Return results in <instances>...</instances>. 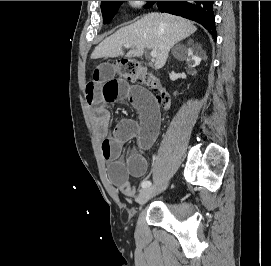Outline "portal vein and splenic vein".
Returning a JSON list of instances; mask_svg holds the SVG:
<instances>
[{
  "label": "portal vein and splenic vein",
  "instance_id": "obj_1",
  "mask_svg": "<svg viewBox=\"0 0 271 266\" xmlns=\"http://www.w3.org/2000/svg\"><path fill=\"white\" fill-rule=\"evenodd\" d=\"M124 47H125V48H130L131 46H130V45H125ZM151 56H152L153 58H156V57H157V51L152 50Z\"/></svg>",
  "mask_w": 271,
  "mask_h": 266
}]
</instances>
